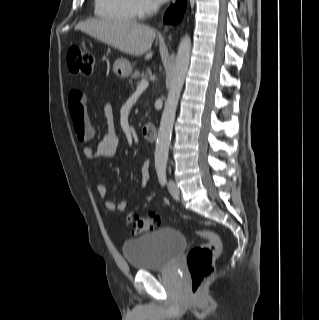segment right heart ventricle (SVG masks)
Listing matches in <instances>:
<instances>
[{
    "mask_svg": "<svg viewBox=\"0 0 319 320\" xmlns=\"http://www.w3.org/2000/svg\"><path fill=\"white\" fill-rule=\"evenodd\" d=\"M94 11L101 19L129 23L135 19L132 0H95Z\"/></svg>",
    "mask_w": 319,
    "mask_h": 320,
    "instance_id": "1",
    "label": "right heart ventricle"
}]
</instances>
